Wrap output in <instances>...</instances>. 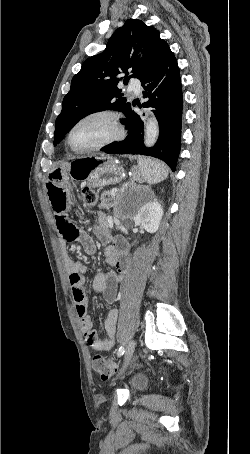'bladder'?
<instances>
[{
	"mask_svg": "<svg viewBox=\"0 0 250 454\" xmlns=\"http://www.w3.org/2000/svg\"><path fill=\"white\" fill-rule=\"evenodd\" d=\"M146 381L143 376H136L132 382V389L140 391L145 387Z\"/></svg>",
	"mask_w": 250,
	"mask_h": 454,
	"instance_id": "31cf9c89",
	"label": "bladder"
}]
</instances>
